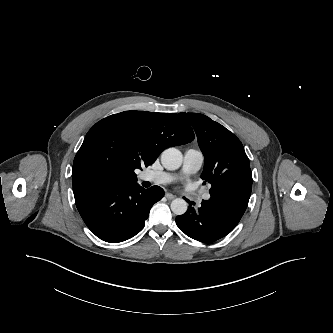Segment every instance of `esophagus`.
<instances>
[{"mask_svg": "<svg viewBox=\"0 0 333 333\" xmlns=\"http://www.w3.org/2000/svg\"><path fill=\"white\" fill-rule=\"evenodd\" d=\"M165 197H166L168 200H172V199L175 198V196H174L173 194H171V193H166V194H165Z\"/></svg>", "mask_w": 333, "mask_h": 333, "instance_id": "obj_1", "label": "esophagus"}]
</instances>
